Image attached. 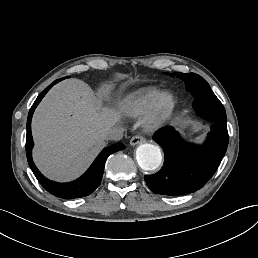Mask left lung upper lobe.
I'll return each instance as SVG.
<instances>
[{
  "label": "left lung upper lobe",
  "instance_id": "1",
  "mask_svg": "<svg viewBox=\"0 0 258 258\" xmlns=\"http://www.w3.org/2000/svg\"><path fill=\"white\" fill-rule=\"evenodd\" d=\"M167 75L172 76L168 73ZM175 75L185 82L186 90L190 92L194 98L200 94L213 93L209 84L201 76L195 73H175Z\"/></svg>",
  "mask_w": 258,
  "mask_h": 258
}]
</instances>
